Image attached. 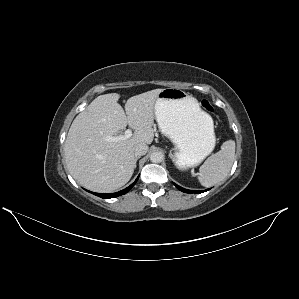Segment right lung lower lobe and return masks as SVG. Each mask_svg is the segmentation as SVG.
Here are the masks:
<instances>
[{"label": "right lung lower lobe", "mask_w": 299, "mask_h": 299, "mask_svg": "<svg viewBox=\"0 0 299 299\" xmlns=\"http://www.w3.org/2000/svg\"><path fill=\"white\" fill-rule=\"evenodd\" d=\"M137 179L129 187H127L124 190H121L119 192H116V193H111V194H101V193H93V192H91V193H93L94 195H97L101 198H104V199L114 198V197H117V196L127 193L135 185V183L137 182Z\"/></svg>", "instance_id": "right-lung-lower-lobe-1"}]
</instances>
